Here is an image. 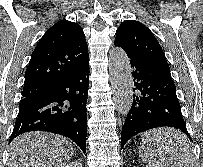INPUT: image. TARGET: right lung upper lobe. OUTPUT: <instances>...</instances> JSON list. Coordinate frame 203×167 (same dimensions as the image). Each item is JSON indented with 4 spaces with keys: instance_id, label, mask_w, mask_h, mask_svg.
Returning a JSON list of instances; mask_svg holds the SVG:
<instances>
[{
    "instance_id": "right-lung-upper-lobe-1",
    "label": "right lung upper lobe",
    "mask_w": 203,
    "mask_h": 167,
    "mask_svg": "<svg viewBox=\"0 0 203 167\" xmlns=\"http://www.w3.org/2000/svg\"><path fill=\"white\" fill-rule=\"evenodd\" d=\"M87 60L88 47L81 26L67 20L57 22L32 53L25 72L23 99L46 94Z\"/></svg>"
}]
</instances>
